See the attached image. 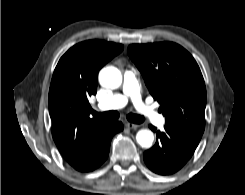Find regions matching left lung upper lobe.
Instances as JSON below:
<instances>
[{"instance_id": "obj_1", "label": "left lung upper lobe", "mask_w": 245, "mask_h": 195, "mask_svg": "<svg viewBox=\"0 0 245 195\" xmlns=\"http://www.w3.org/2000/svg\"><path fill=\"white\" fill-rule=\"evenodd\" d=\"M128 55L140 70L166 124L203 134L206 88L192 55L172 42L132 44Z\"/></svg>"}]
</instances>
